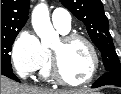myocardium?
I'll return each instance as SVG.
<instances>
[{"mask_svg": "<svg viewBox=\"0 0 121 94\" xmlns=\"http://www.w3.org/2000/svg\"><path fill=\"white\" fill-rule=\"evenodd\" d=\"M75 40H80L85 43V45L89 49V52H90V55L92 58V62H93L92 71H91L90 75L84 81L72 82V81L68 80L62 73L59 54L54 49L51 50V74H52V77L57 83L64 85V86H68V87H81V86H85V85L91 83L94 80V78L96 77V75L99 71V67H100V60H99V55L97 53V50H96L94 44L86 36L79 34V33H66V34H63L61 37V41L63 43H69V42L75 41Z\"/></svg>", "mask_w": 121, "mask_h": 94, "instance_id": "obj_1", "label": "myocardium"}]
</instances>
